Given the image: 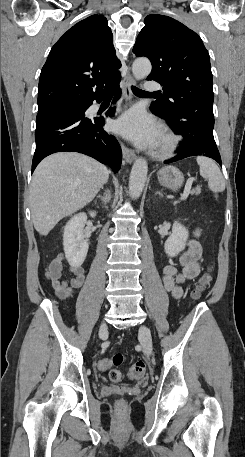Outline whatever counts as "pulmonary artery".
<instances>
[{
    "mask_svg": "<svg viewBox=\"0 0 245 457\" xmlns=\"http://www.w3.org/2000/svg\"><path fill=\"white\" fill-rule=\"evenodd\" d=\"M143 87V93L145 95H152L154 93V90H162L163 83L162 81L157 80H144ZM94 109L96 110L97 107H95Z\"/></svg>",
    "mask_w": 245,
    "mask_h": 457,
    "instance_id": "obj_1",
    "label": "pulmonary artery"
}]
</instances>
